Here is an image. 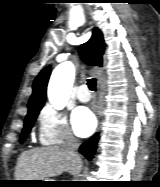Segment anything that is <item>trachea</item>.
<instances>
[{
  "label": "trachea",
  "instance_id": "trachea-1",
  "mask_svg": "<svg viewBox=\"0 0 160 187\" xmlns=\"http://www.w3.org/2000/svg\"><path fill=\"white\" fill-rule=\"evenodd\" d=\"M87 85H88L90 90L96 91V79H94V78L88 79L87 80Z\"/></svg>",
  "mask_w": 160,
  "mask_h": 187
}]
</instances>
